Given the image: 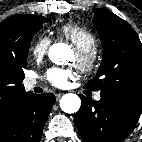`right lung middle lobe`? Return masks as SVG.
I'll return each mask as SVG.
<instances>
[{"label": "right lung middle lobe", "instance_id": "dd1d6c3e", "mask_svg": "<svg viewBox=\"0 0 142 142\" xmlns=\"http://www.w3.org/2000/svg\"><path fill=\"white\" fill-rule=\"evenodd\" d=\"M45 22H47V20L44 17L35 15L33 16L29 25L20 37L19 52L16 61L11 66L0 67V84H22V81L24 79L23 69L27 66V54L30 46V41L34 34H36L42 28V24Z\"/></svg>", "mask_w": 142, "mask_h": 142}]
</instances>
